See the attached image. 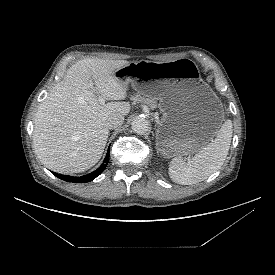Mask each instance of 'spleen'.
<instances>
[{
    "instance_id": "1",
    "label": "spleen",
    "mask_w": 275,
    "mask_h": 275,
    "mask_svg": "<svg viewBox=\"0 0 275 275\" xmlns=\"http://www.w3.org/2000/svg\"><path fill=\"white\" fill-rule=\"evenodd\" d=\"M232 139V121L223 123L216 138L202 148L195 156L185 162L177 156L169 165V176L173 182L182 185H192L207 179L224 163Z\"/></svg>"
}]
</instances>
